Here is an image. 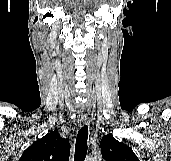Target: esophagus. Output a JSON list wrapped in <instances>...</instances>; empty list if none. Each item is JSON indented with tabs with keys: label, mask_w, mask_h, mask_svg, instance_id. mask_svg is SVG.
Segmentation results:
<instances>
[{
	"label": "esophagus",
	"mask_w": 171,
	"mask_h": 161,
	"mask_svg": "<svg viewBox=\"0 0 171 161\" xmlns=\"http://www.w3.org/2000/svg\"><path fill=\"white\" fill-rule=\"evenodd\" d=\"M78 121L81 125H85L89 122V116L87 113L80 112L78 115Z\"/></svg>",
	"instance_id": "obj_1"
}]
</instances>
